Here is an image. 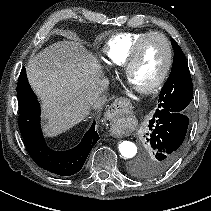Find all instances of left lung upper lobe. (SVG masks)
Returning <instances> with one entry per match:
<instances>
[{"instance_id": "left-lung-upper-lobe-1", "label": "left lung upper lobe", "mask_w": 211, "mask_h": 211, "mask_svg": "<svg viewBox=\"0 0 211 211\" xmlns=\"http://www.w3.org/2000/svg\"><path fill=\"white\" fill-rule=\"evenodd\" d=\"M171 44L174 49V59L171 73L159 95V104L155 115L163 112H177L188 114L190 103L193 98V84L185 55L172 38ZM148 167L145 168L147 175H150L152 160L147 154Z\"/></svg>"}]
</instances>
